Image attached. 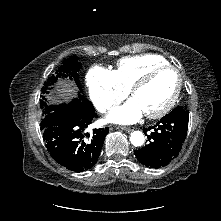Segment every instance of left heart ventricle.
Here are the masks:
<instances>
[{"instance_id":"1","label":"left heart ventricle","mask_w":221,"mask_h":221,"mask_svg":"<svg viewBox=\"0 0 221 221\" xmlns=\"http://www.w3.org/2000/svg\"><path fill=\"white\" fill-rule=\"evenodd\" d=\"M177 82V74L174 71H161L147 85L139 89L133 98L139 103L144 113L158 111L171 99Z\"/></svg>"}]
</instances>
